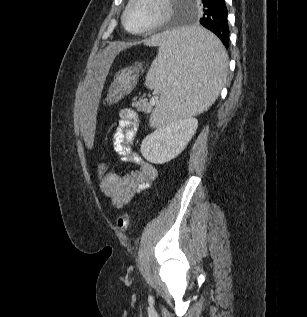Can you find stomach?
<instances>
[{
    "label": "stomach",
    "instance_id": "1",
    "mask_svg": "<svg viewBox=\"0 0 307 317\" xmlns=\"http://www.w3.org/2000/svg\"><path fill=\"white\" fill-rule=\"evenodd\" d=\"M136 81V75L134 70L126 68L116 74L114 82L112 83L109 93L108 100L110 102L120 99L123 95L131 91Z\"/></svg>",
    "mask_w": 307,
    "mask_h": 317
}]
</instances>
